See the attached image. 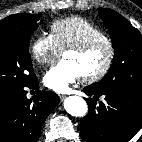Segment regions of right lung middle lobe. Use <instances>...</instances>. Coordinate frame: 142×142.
Returning a JSON list of instances; mask_svg holds the SVG:
<instances>
[{
  "label": "right lung middle lobe",
  "mask_w": 142,
  "mask_h": 142,
  "mask_svg": "<svg viewBox=\"0 0 142 142\" xmlns=\"http://www.w3.org/2000/svg\"><path fill=\"white\" fill-rule=\"evenodd\" d=\"M39 16L15 14L0 21V98L25 88L37 78L29 54L30 36Z\"/></svg>",
  "instance_id": "1"
}]
</instances>
